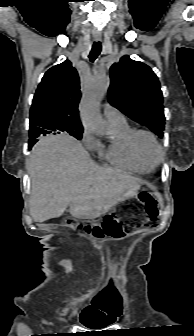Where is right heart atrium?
Listing matches in <instances>:
<instances>
[{
	"mask_svg": "<svg viewBox=\"0 0 194 336\" xmlns=\"http://www.w3.org/2000/svg\"><path fill=\"white\" fill-rule=\"evenodd\" d=\"M82 141L87 149L94 151L98 147V140L88 131L84 130L82 135Z\"/></svg>",
	"mask_w": 194,
	"mask_h": 336,
	"instance_id": "1",
	"label": "right heart atrium"
}]
</instances>
